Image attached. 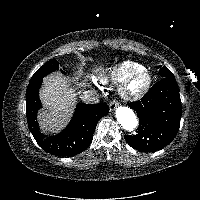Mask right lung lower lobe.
<instances>
[{"instance_id":"right-lung-lower-lobe-1","label":"right lung lower lobe","mask_w":200,"mask_h":200,"mask_svg":"<svg viewBox=\"0 0 200 200\" xmlns=\"http://www.w3.org/2000/svg\"><path fill=\"white\" fill-rule=\"evenodd\" d=\"M42 79L30 82L26 91V115L29 129L38 145L56 156H74L91 144L96 124L109 112L106 103L78 104L69 125L56 136H45L39 131L36 114L41 103L38 90Z\"/></svg>"}]
</instances>
